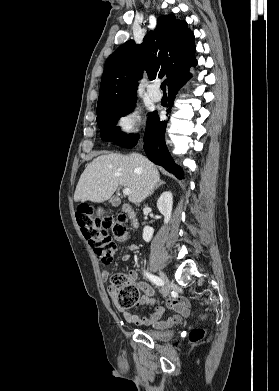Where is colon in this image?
Wrapping results in <instances>:
<instances>
[{"label": "colon", "instance_id": "colon-1", "mask_svg": "<svg viewBox=\"0 0 279 391\" xmlns=\"http://www.w3.org/2000/svg\"><path fill=\"white\" fill-rule=\"evenodd\" d=\"M76 219L84 238L88 241L95 256L104 264L111 263L118 247L109 232L112 231L116 239L127 238L125 214L118 213L99 218L94 215L92 208L84 207L78 210ZM112 286L117 293L119 308L127 309L138 304L140 299L139 291L125 274H114ZM205 335V330L196 328L190 332L189 340L191 343H196L202 340Z\"/></svg>", "mask_w": 279, "mask_h": 391}]
</instances>
